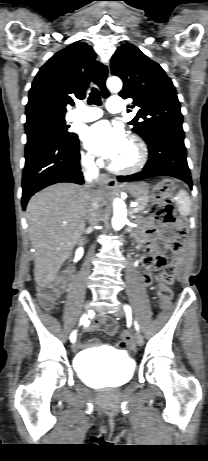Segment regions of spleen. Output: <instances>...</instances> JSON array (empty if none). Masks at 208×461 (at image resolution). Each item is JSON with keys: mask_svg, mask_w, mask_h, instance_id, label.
Instances as JSON below:
<instances>
[{"mask_svg": "<svg viewBox=\"0 0 208 461\" xmlns=\"http://www.w3.org/2000/svg\"><path fill=\"white\" fill-rule=\"evenodd\" d=\"M176 202L180 215L183 217L188 216L191 211V200L185 190L179 191L176 197Z\"/></svg>", "mask_w": 208, "mask_h": 461, "instance_id": "spleen-1", "label": "spleen"}]
</instances>
